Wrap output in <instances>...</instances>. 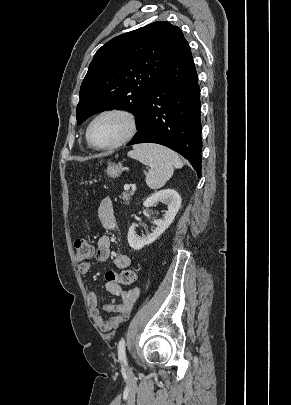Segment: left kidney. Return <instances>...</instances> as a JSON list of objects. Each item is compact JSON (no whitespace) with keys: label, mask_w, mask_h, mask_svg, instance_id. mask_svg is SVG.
<instances>
[{"label":"left kidney","mask_w":291,"mask_h":405,"mask_svg":"<svg viewBox=\"0 0 291 405\" xmlns=\"http://www.w3.org/2000/svg\"><path fill=\"white\" fill-rule=\"evenodd\" d=\"M159 202L166 204L168 210L162 219L154 221L156 228L152 233L140 237L136 234L134 225L129 228L128 243L132 249L140 250L145 245L153 243L170 226L181 206V197L173 189H163L147 198L143 206L149 208Z\"/></svg>","instance_id":"1"}]
</instances>
